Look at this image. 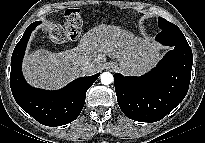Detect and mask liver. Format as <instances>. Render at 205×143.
Segmentation results:
<instances>
[{"instance_id": "obj_1", "label": "liver", "mask_w": 205, "mask_h": 143, "mask_svg": "<svg viewBox=\"0 0 205 143\" xmlns=\"http://www.w3.org/2000/svg\"><path fill=\"white\" fill-rule=\"evenodd\" d=\"M159 47L115 25L100 24L87 31L72 49L51 52L38 49L24 56L23 74L27 82L42 89H59L82 76L83 62L102 70L107 56L117 59L127 74H141L154 66Z\"/></svg>"}]
</instances>
